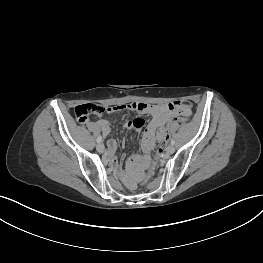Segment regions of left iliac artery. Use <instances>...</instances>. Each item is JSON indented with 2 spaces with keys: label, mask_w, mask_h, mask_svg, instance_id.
Masks as SVG:
<instances>
[{
  "label": "left iliac artery",
  "mask_w": 263,
  "mask_h": 263,
  "mask_svg": "<svg viewBox=\"0 0 263 263\" xmlns=\"http://www.w3.org/2000/svg\"><path fill=\"white\" fill-rule=\"evenodd\" d=\"M170 143H171V145H174L175 141L172 139Z\"/></svg>",
  "instance_id": "1"
}]
</instances>
